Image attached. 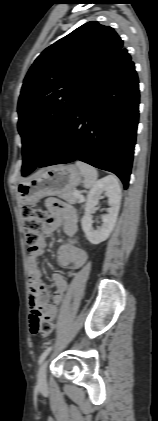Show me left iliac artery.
I'll return each mask as SVG.
<instances>
[{"label": "left iliac artery", "mask_w": 158, "mask_h": 421, "mask_svg": "<svg viewBox=\"0 0 158 421\" xmlns=\"http://www.w3.org/2000/svg\"><path fill=\"white\" fill-rule=\"evenodd\" d=\"M51 349H52V346H49L42 354H41V356L39 357V364H41L43 361H44V359L47 357V355L50 353V351H51Z\"/></svg>", "instance_id": "left-iliac-artery-1"}]
</instances>
